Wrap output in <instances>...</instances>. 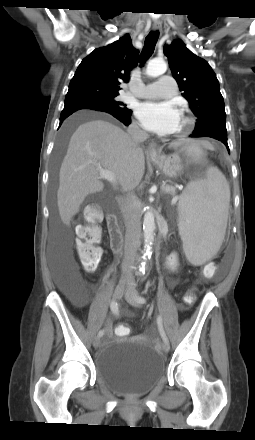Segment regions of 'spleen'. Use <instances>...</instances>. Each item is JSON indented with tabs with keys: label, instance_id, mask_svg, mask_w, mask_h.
Masks as SVG:
<instances>
[{
	"label": "spleen",
	"instance_id": "3e777b00",
	"mask_svg": "<svg viewBox=\"0 0 255 440\" xmlns=\"http://www.w3.org/2000/svg\"><path fill=\"white\" fill-rule=\"evenodd\" d=\"M195 161L201 159L198 147L187 150ZM230 190L224 175L213 167L206 180L190 182L178 205L179 234L188 260L201 265L219 250L224 239Z\"/></svg>",
	"mask_w": 255,
	"mask_h": 440
}]
</instances>
